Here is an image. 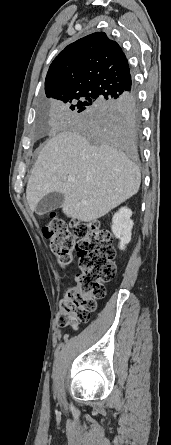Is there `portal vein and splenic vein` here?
Returning a JSON list of instances; mask_svg holds the SVG:
<instances>
[{
	"instance_id": "portal-vein-and-splenic-vein-1",
	"label": "portal vein and splenic vein",
	"mask_w": 171,
	"mask_h": 445,
	"mask_svg": "<svg viewBox=\"0 0 171 445\" xmlns=\"http://www.w3.org/2000/svg\"><path fill=\"white\" fill-rule=\"evenodd\" d=\"M68 180H69L70 182H72V181H74V178H73V177H69Z\"/></svg>"
}]
</instances>
